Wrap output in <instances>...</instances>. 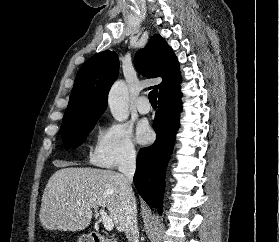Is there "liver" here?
Returning <instances> with one entry per match:
<instances>
[{
	"mask_svg": "<svg viewBox=\"0 0 279 242\" xmlns=\"http://www.w3.org/2000/svg\"><path fill=\"white\" fill-rule=\"evenodd\" d=\"M49 179L40 208V223L47 230L80 231L92 219V209L107 208L119 232L125 231L128 198L126 178L112 170L67 167Z\"/></svg>",
	"mask_w": 279,
	"mask_h": 242,
	"instance_id": "1",
	"label": "liver"
}]
</instances>
